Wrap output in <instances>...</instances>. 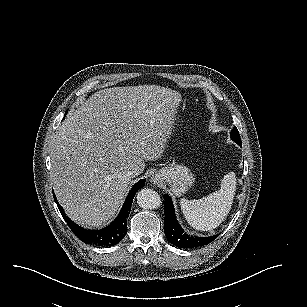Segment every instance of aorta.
Wrapping results in <instances>:
<instances>
[{"mask_svg":"<svg viewBox=\"0 0 307 307\" xmlns=\"http://www.w3.org/2000/svg\"><path fill=\"white\" fill-rule=\"evenodd\" d=\"M136 202L143 209H154L159 206L160 197L154 190L142 188L137 192Z\"/></svg>","mask_w":307,"mask_h":307,"instance_id":"1","label":"aorta"}]
</instances>
